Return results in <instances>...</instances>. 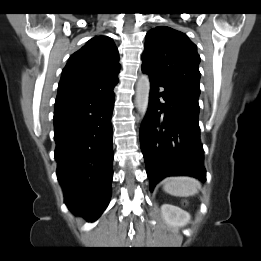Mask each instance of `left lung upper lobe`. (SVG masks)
<instances>
[{"label":"left lung upper lobe","mask_w":261,"mask_h":261,"mask_svg":"<svg viewBox=\"0 0 261 261\" xmlns=\"http://www.w3.org/2000/svg\"><path fill=\"white\" fill-rule=\"evenodd\" d=\"M142 69L200 94V56L186 34L166 26L151 29L145 40Z\"/></svg>","instance_id":"left-lung-upper-lobe-1"}]
</instances>
